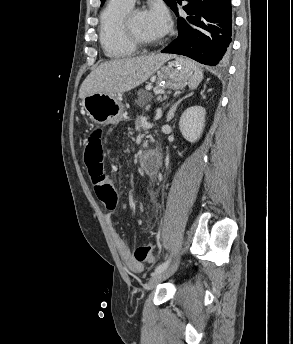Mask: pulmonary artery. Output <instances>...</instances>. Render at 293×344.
Segmentation results:
<instances>
[{
  "label": "pulmonary artery",
  "mask_w": 293,
  "mask_h": 344,
  "mask_svg": "<svg viewBox=\"0 0 293 344\" xmlns=\"http://www.w3.org/2000/svg\"><path fill=\"white\" fill-rule=\"evenodd\" d=\"M117 1H123V2H127L129 4H134L135 0H117Z\"/></svg>",
  "instance_id": "1"
}]
</instances>
